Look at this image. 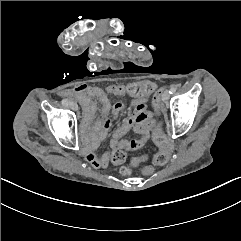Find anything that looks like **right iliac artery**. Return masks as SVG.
<instances>
[{"instance_id":"82829eb1","label":"right iliac artery","mask_w":241,"mask_h":241,"mask_svg":"<svg viewBox=\"0 0 241 241\" xmlns=\"http://www.w3.org/2000/svg\"><path fill=\"white\" fill-rule=\"evenodd\" d=\"M62 103L65 104V105L68 104V102L66 100H62Z\"/></svg>"}]
</instances>
